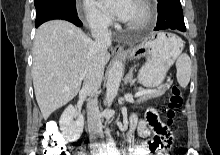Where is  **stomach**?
<instances>
[{"mask_svg": "<svg viewBox=\"0 0 220 155\" xmlns=\"http://www.w3.org/2000/svg\"><path fill=\"white\" fill-rule=\"evenodd\" d=\"M183 49L181 38L172 33H159L149 38L145 44L133 49L129 57L135 58L142 52L147 54V62L139 71L138 79L146 87L159 86Z\"/></svg>", "mask_w": 220, "mask_h": 155, "instance_id": "obj_1", "label": "stomach"}]
</instances>
